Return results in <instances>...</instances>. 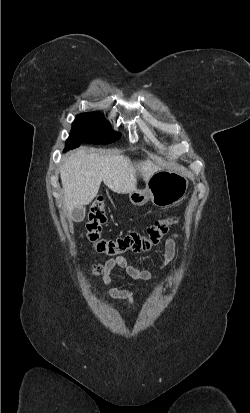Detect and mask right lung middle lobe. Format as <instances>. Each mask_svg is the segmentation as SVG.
<instances>
[{
	"mask_svg": "<svg viewBox=\"0 0 250 413\" xmlns=\"http://www.w3.org/2000/svg\"><path fill=\"white\" fill-rule=\"evenodd\" d=\"M120 136L112 131L110 124L102 116L95 113L79 114L72 124L64 151L74 149L81 143L109 144L118 140Z\"/></svg>",
	"mask_w": 250,
	"mask_h": 413,
	"instance_id": "right-lung-middle-lobe-1",
	"label": "right lung middle lobe"
}]
</instances>
